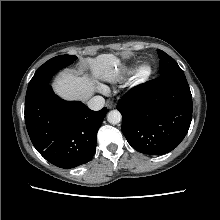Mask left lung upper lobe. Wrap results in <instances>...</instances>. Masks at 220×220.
<instances>
[{
	"label": "left lung upper lobe",
	"instance_id": "5c2ea615",
	"mask_svg": "<svg viewBox=\"0 0 220 220\" xmlns=\"http://www.w3.org/2000/svg\"><path fill=\"white\" fill-rule=\"evenodd\" d=\"M157 52L160 58V69H159L160 75L183 72L182 69L178 66V64L172 57H170L162 50L157 49Z\"/></svg>",
	"mask_w": 220,
	"mask_h": 220
}]
</instances>
